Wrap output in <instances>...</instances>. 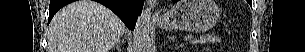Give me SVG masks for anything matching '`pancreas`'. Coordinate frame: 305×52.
Masks as SVG:
<instances>
[{
  "label": "pancreas",
  "instance_id": "pancreas-1",
  "mask_svg": "<svg viewBox=\"0 0 305 52\" xmlns=\"http://www.w3.org/2000/svg\"><path fill=\"white\" fill-rule=\"evenodd\" d=\"M217 42H220V38L214 35H203L193 41V43H197V44L217 43Z\"/></svg>",
  "mask_w": 305,
  "mask_h": 52
}]
</instances>
